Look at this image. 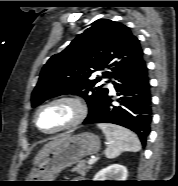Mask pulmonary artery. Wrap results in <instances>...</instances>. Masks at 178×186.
<instances>
[{
  "label": "pulmonary artery",
  "instance_id": "pulmonary-artery-1",
  "mask_svg": "<svg viewBox=\"0 0 178 186\" xmlns=\"http://www.w3.org/2000/svg\"><path fill=\"white\" fill-rule=\"evenodd\" d=\"M109 88L111 89V90H113V85L110 83L109 84Z\"/></svg>",
  "mask_w": 178,
  "mask_h": 186
}]
</instances>
